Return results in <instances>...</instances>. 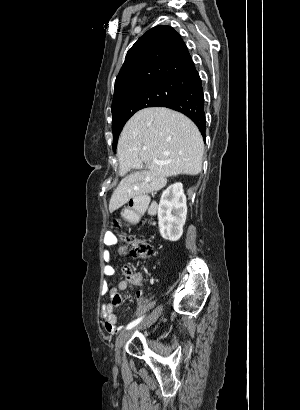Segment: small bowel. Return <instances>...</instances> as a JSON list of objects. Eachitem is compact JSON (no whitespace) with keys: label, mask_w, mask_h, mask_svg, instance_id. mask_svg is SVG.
Segmentation results:
<instances>
[{"label":"small bowel","mask_w":300,"mask_h":410,"mask_svg":"<svg viewBox=\"0 0 300 410\" xmlns=\"http://www.w3.org/2000/svg\"><path fill=\"white\" fill-rule=\"evenodd\" d=\"M105 244L107 246H116L117 245V238L113 234H108L105 239ZM119 254H125V248L119 247L118 248ZM116 269L113 265H107L104 268V275L106 278H111L115 275ZM141 282V278L139 276H131L122 279L116 287H110L107 280L104 281L102 291L104 294L109 295L110 300L109 302L103 305L102 309V318L104 321V328L107 333L115 334L120 329L121 326L117 325V319L114 314V310L116 307L121 305V296L120 292L126 290L129 287H133L138 285ZM137 302H138V312L142 310V298L143 295L141 292L136 293Z\"/></svg>","instance_id":"obj_1"}]
</instances>
